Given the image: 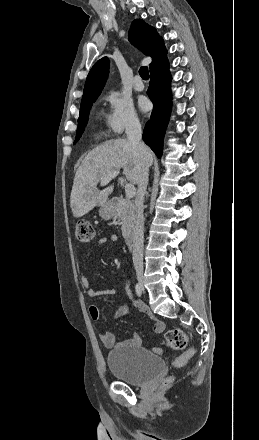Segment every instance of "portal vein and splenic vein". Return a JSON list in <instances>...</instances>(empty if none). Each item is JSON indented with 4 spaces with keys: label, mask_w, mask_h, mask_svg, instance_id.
<instances>
[{
    "label": "portal vein and splenic vein",
    "mask_w": 259,
    "mask_h": 440,
    "mask_svg": "<svg viewBox=\"0 0 259 440\" xmlns=\"http://www.w3.org/2000/svg\"><path fill=\"white\" fill-rule=\"evenodd\" d=\"M118 174L119 171H113L112 173L108 174L106 177H104L103 180H101L100 185L101 186L107 185L112 179L117 177ZM125 192H126V198L131 199L135 195L136 189L132 183H126Z\"/></svg>",
    "instance_id": "obj_1"
}]
</instances>
